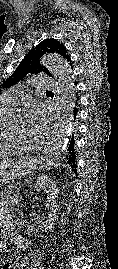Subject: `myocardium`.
Listing matches in <instances>:
<instances>
[{
  "instance_id": "myocardium-1",
  "label": "myocardium",
  "mask_w": 118,
  "mask_h": 269,
  "mask_svg": "<svg viewBox=\"0 0 118 269\" xmlns=\"http://www.w3.org/2000/svg\"><path fill=\"white\" fill-rule=\"evenodd\" d=\"M12 134H13L14 138L20 142V144L22 145V149L27 147L28 142L22 136L17 135L14 132ZM31 146H32L31 144H28V147H31Z\"/></svg>"
}]
</instances>
